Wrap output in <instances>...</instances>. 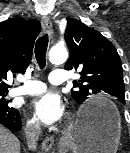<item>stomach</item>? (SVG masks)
Returning <instances> with one entry per match:
<instances>
[{"label": "stomach", "mask_w": 130, "mask_h": 153, "mask_svg": "<svg viewBox=\"0 0 130 153\" xmlns=\"http://www.w3.org/2000/svg\"><path fill=\"white\" fill-rule=\"evenodd\" d=\"M87 108H108L109 111L85 120L82 114ZM121 129V117L115 105L94 99L82 107L77 119L61 138L60 146L63 151L70 149L73 153H116Z\"/></svg>", "instance_id": "0dacf381"}]
</instances>
